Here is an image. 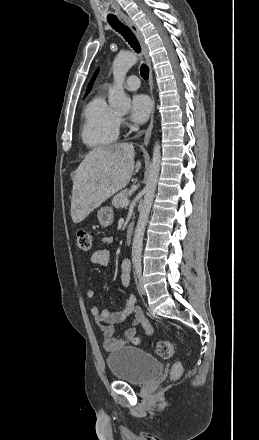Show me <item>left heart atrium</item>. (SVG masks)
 Listing matches in <instances>:
<instances>
[{"mask_svg": "<svg viewBox=\"0 0 259 440\" xmlns=\"http://www.w3.org/2000/svg\"><path fill=\"white\" fill-rule=\"evenodd\" d=\"M152 107V101L146 94H135L131 99V120L135 123H144L148 119Z\"/></svg>", "mask_w": 259, "mask_h": 440, "instance_id": "obj_1", "label": "left heart atrium"}]
</instances>
